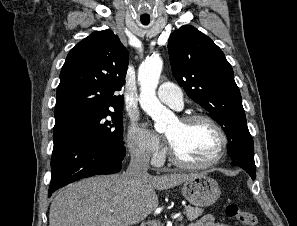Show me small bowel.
<instances>
[{
  "instance_id": "obj_1",
  "label": "small bowel",
  "mask_w": 297,
  "mask_h": 226,
  "mask_svg": "<svg viewBox=\"0 0 297 226\" xmlns=\"http://www.w3.org/2000/svg\"><path fill=\"white\" fill-rule=\"evenodd\" d=\"M190 226H229V225L224 223H217L214 221V218L212 215L205 214Z\"/></svg>"
}]
</instances>
